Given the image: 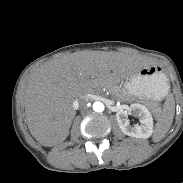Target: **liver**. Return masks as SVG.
<instances>
[{
	"label": "liver",
	"instance_id": "1",
	"mask_svg": "<svg viewBox=\"0 0 183 183\" xmlns=\"http://www.w3.org/2000/svg\"><path fill=\"white\" fill-rule=\"evenodd\" d=\"M149 65L139 56L88 50L45 62L30 73L23 98L31 135L46 147L62 143L76 115L75 100Z\"/></svg>",
	"mask_w": 183,
	"mask_h": 183
}]
</instances>
